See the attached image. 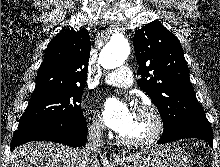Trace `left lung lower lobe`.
Returning <instances> with one entry per match:
<instances>
[{
	"mask_svg": "<svg viewBox=\"0 0 220 167\" xmlns=\"http://www.w3.org/2000/svg\"><path fill=\"white\" fill-rule=\"evenodd\" d=\"M184 138H199L208 142L210 147L213 146L212 128L208 120L190 123L174 134H163L158 144H164Z\"/></svg>",
	"mask_w": 220,
	"mask_h": 167,
	"instance_id": "obj_1",
	"label": "left lung lower lobe"
}]
</instances>
